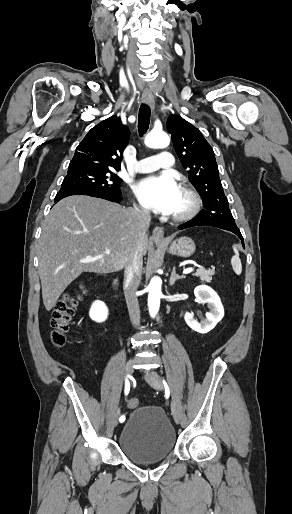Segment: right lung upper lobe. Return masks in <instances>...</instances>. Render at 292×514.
<instances>
[{"label": "right lung upper lobe", "instance_id": "obj_1", "mask_svg": "<svg viewBox=\"0 0 292 514\" xmlns=\"http://www.w3.org/2000/svg\"><path fill=\"white\" fill-rule=\"evenodd\" d=\"M129 129L116 116L93 127L77 146L68 172H115L128 144Z\"/></svg>", "mask_w": 292, "mask_h": 514}]
</instances>
